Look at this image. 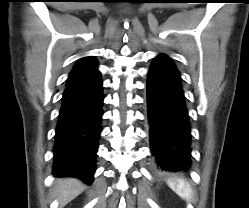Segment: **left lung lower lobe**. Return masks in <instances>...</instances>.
<instances>
[{
    "label": "left lung lower lobe",
    "mask_w": 249,
    "mask_h": 208,
    "mask_svg": "<svg viewBox=\"0 0 249 208\" xmlns=\"http://www.w3.org/2000/svg\"><path fill=\"white\" fill-rule=\"evenodd\" d=\"M147 123L151 152L161 172H186L191 131L180 73L166 55L157 56L147 80Z\"/></svg>",
    "instance_id": "obj_1"
}]
</instances>
